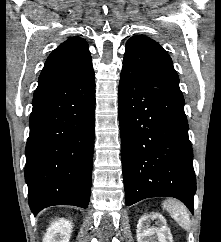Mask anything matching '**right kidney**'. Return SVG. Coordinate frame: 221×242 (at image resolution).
I'll return each instance as SVG.
<instances>
[{
	"label": "right kidney",
	"mask_w": 221,
	"mask_h": 242,
	"mask_svg": "<svg viewBox=\"0 0 221 242\" xmlns=\"http://www.w3.org/2000/svg\"><path fill=\"white\" fill-rule=\"evenodd\" d=\"M72 233L70 221L59 218L54 220L47 231L45 242H69Z\"/></svg>",
	"instance_id": "1"
}]
</instances>
